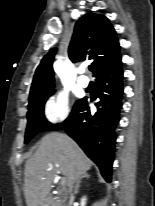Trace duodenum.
<instances>
[{"mask_svg":"<svg viewBox=\"0 0 155 206\" xmlns=\"http://www.w3.org/2000/svg\"><path fill=\"white\" fill-rule=\"evenodd\" d=\"M48 203L50 204V206H58L56 200L52 197L48 199Z\"/></svg>","mask_w":155,"mask_h":206,"instance_id":"obj_1","label":"duodenum"}]
</instances>
